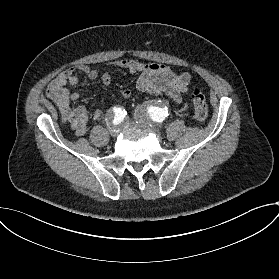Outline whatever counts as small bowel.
I'll return each mask as SVG.
<instances>
[{
    "instance_id": "obj_1",
    "label": "small bowel",
    "mask_w": 279,
    "mask_h": 279,
    "mask_svg": "<svg viewBox=\"0 0 279 279\" xmlns=\"http://www.w3.org/2000/svg\"><path fill=\"white\" fill-rule=\"evenodd\" d=\"M112 65L116 68L138 73L137 87L139 90L170 98L173 102H180L181 93L187 91L191 85V76L188 72L177 73L171 67L158 63H145L135 59H120ZM77 72L85 74L90 80L98 77L96 69L87 65L72 66L56 76L48 85L46 95L54 102L60 113L61 121L77 136H82L88 129V112L83 107L72 109L70 102L79 99L78 92H69L67 85H77L79 78ZM103 84L111 85L112 79L108 72L101 75ZM120 95L124 99L131 97L128 89H122ZM102 110L96 109L92 113L93 119L102 116Z\"/></svg>"
}]
</instances>
